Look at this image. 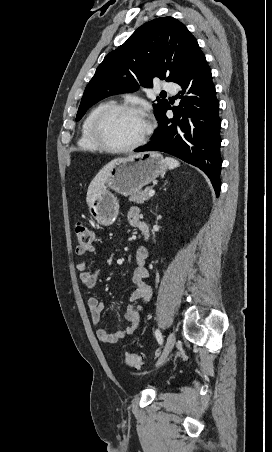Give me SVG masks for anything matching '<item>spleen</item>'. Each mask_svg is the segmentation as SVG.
I'll return each mask as SVG.
<instances>
[{
  "label": "spleen",
  "mask_w": 272,
  "mask_h": 452,
  "mask_svg": "<svg viewBox=\"0 0 272 452\" xmlns=\"http://www.w3.org/2000/svg\"><path fill=\"white\" fill-rule=\"evenodd\" d=\"M165 161H166L167 166H168L169 169L177 168L180 165L178 160H176L174 158H171V157H166Z\"/></svg>",
  "instance_id": "spleen-1"
}]
</instances>
